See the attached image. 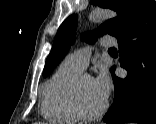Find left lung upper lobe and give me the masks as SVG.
<instances>
[{
	"mask_svg": "<svg viewBox=\"0 0 156 124\" xmlns=\"http://www.w3.org/2000/svg\"><path fill=\"white\" fill-rule=\"evenodd\" d=\"M91 2L98 4L100 7L116 11L118 16L102 24L97 31L84 34L82 39L89 43L95 42L98 36L106 33L118 37L125 32L133 25L149 0H91ZM76 27V15L69 16L59 27L51 52L45 63L44 77L48 76L67 54L74 42Z\"/></svg>",
	"mask_w": 156,
	"mask_h": 124,
	"instance_id": "obj_1",
	"label": "left lung upper lobe"
}]
</instances>
